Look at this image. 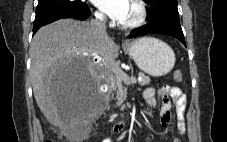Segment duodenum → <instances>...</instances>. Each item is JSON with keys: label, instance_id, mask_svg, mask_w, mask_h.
I'll use <instances>...</instances> for the list:
<instances>
[{"label": "duodenum", "instance_id": "duodenum-1", "mask_svg": "<svg viewBox=\"0 0 227 142\" xmlns=\"http://www.w3.org/2000/svg\"><path fill=\"white\" fill-rule=\"evenodd\" d=\"M126 128H127L126 122L120 121V122H117V123L113 126L112 130H113L114 132H123V131L126 130Z\"/></svg>", "mask_w": 227, "mask_h": 142}]
</instances>
